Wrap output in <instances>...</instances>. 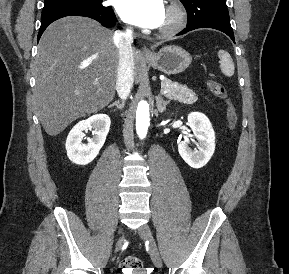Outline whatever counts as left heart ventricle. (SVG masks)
Wrapping results in <instances>:
<instances>
[{"instance_id":"obj_1","label":"left heart ventricle","mask_w":289,"mask_h":274,"mask_svg":"<svg viewBox=\"0 0 289 274\" xmlns=\"http://www.w3.org/2000/svg\"><path fill=\"white\" fill-rule=\"evenodd\" d=\"M170 21V15L169 13L167 12V10L165 11V16H164V20L162 22V24L160 25V27H163L165 26L166 24H168Z\"/></svg>"}]
</instances>
